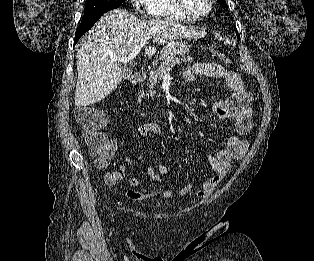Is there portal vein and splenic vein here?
Instances as JSON below:
<instances>
[{
    "mask_svg": "<svg viewBox=\"0 0 314 261\" xmlns=\"http://www.w3.org/2000/svg\"><path fill=\"white\" fill-rule=\"evenodd\" d=\"M147 43V40L141 41L130 53L128 56L122 57V58H117V57H112L114 61H120L124 64H127L129 61L134 59L138 53L140 52L141 48Z\"/></svg>",
    "mask_w": 314,
    "mask_h": 261,
    "instance_id": "18ae733b",
    "label": "portal vein and splenic vein"
}]
</instances>
